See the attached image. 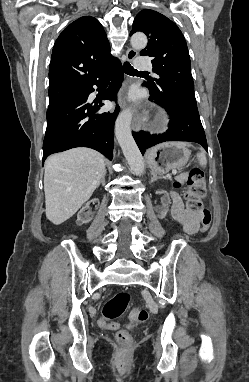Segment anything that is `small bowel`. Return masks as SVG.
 <instances>
[{
	"instance_id": "small-bowel-1",
	"label": "small bowel",
	"mask_w": 249,
	"mask_h": 382,
	"mask_svg": "<svg viewBox=\"0 0 249 382\" xmlns=\"http://www.w3.org/2000/svg\"><path fill=\"white\" fill-rule=\"evenodd\" d=\"M171 213L174 221L180 224L187 234L192 235L198 231L201 215L185 209L177 194L172 195Z\"/></svg>"
}]
</instances>
